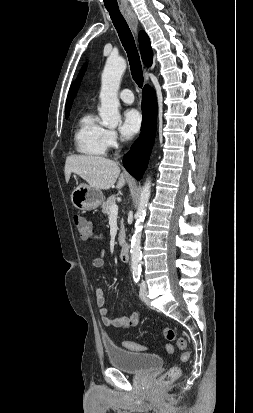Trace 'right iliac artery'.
Segmentation results:
<instances>
[{
	"mask_svg": "<svg viewBox=\"0 0 253 413\" xmlns=\"http://www.w3.org/2000/svg\"><path fill=\"white\" fill-rule=\"evenodd\" d=\"M133 279L135 283H138L140 280V273H133Z\"/></svg>",
	"mask_w": 253,
	"mask_h": 413,
	"instance_id": "1",
	"label": "right iliac artery"
}]
</instances>
